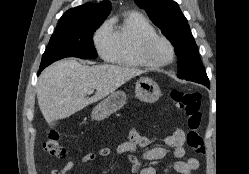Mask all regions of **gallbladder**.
I'll return each instance as SVG.
<instances>
[{"label":"gallbladder","instance_id":"1","mask_svg":"<svg viewBox=\"0 0 249 174\" xmlns=\"http://www.w3.org/2000/svg\"><path fill=\"white\" fill-rule=\"evenodd\" d=\"M49 125H50L51 127H53V126L55 125V123L51 122V123H49Z\"/></svg>","mask_w":249,"mask_h":174}]
</instances>
